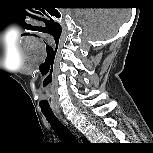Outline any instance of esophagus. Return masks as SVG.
Returning a JSON list of instances; mask_svg holds the SVG:
<instances>
[{"mask_svg":"<svg viewBox=\"0 0 153 153\" xmlns=\"http://www.w3.org/2000/svg\"><path fill=\"white\" fill-rule=\"evenodd\" d=\"M59 117H60V119L63 120V122H64L65 124H68V122H67L65 119H63V117H62L61 115H59Z\"/></svg>","mask_w":153,"mask_h":153,"instance_id":"34e87169","label":"esophagus"}]
</instances>
